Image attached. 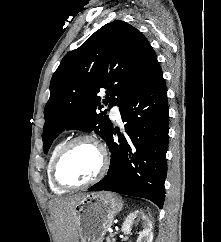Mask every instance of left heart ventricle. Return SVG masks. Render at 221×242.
<instances>
[{
    "label": "left heart ventricle",
    "mask_w": 221,
    "mask_h": 242,
    "mask_svg": "<svg viewBox=\"0 0 221 242\" xmlns=\"http://www.w3.org/2000/svg\"><path fill=\"white\" fill-rule=\"evenodd\" d=\"M99 165L98 148L91 142L81 141L74 144L61 161L58 176L65 183H82L95 175Z\"/></svg>",
    "instance_id": "1"
}]
</instances>
